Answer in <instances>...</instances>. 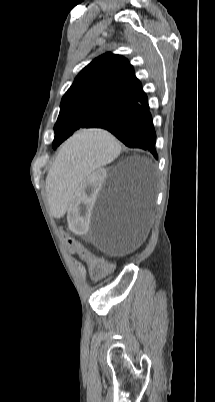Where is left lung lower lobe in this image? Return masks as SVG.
I'll list each match as a JSON object with an SVG mask.
<instances>
[{"label":"left lung lower lobe","mask_w":215,"mask_h":402,"mask_svg":"<svg viewBox=\"0 0 215 402\" xmlns=\"http://www.w3.org/2000/svg\"><path fill=\"white\" fill-rule=\"evenodd\" d=\"M96 128L108 130L131 148L148 150L158 159L155 148L156 133L145 92L119 109Z\"/></svg>","instance_id":"obj_1"}]
</instances>
